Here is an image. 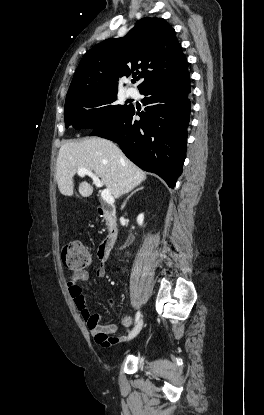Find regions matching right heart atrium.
Returning a JSON list of instances; mask_svg holds the SVG:
<instances>
[{
    "instance_id": "d8ad5b80",
    "label": "right heart atrium",
    "mask_w": 264,
    "mask_h": 415,
    "mask_svg": "<svg viewBox=\"0 0 264 415\" xmlns=\"http://www.w3.org/2000/svg\"><path fill=\"white\" fill-rule=\"evenodd\" d=\"M103 113H104V107L102 105H98L95 107L94 114L97 117H102Z\"/></svg>"
}]
</instances>
